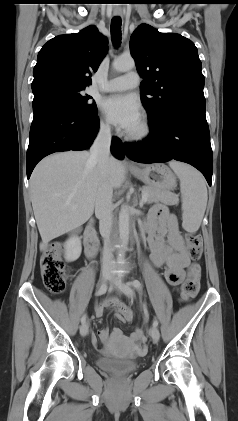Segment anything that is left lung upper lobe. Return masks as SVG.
Listing matches in <instances>:
<instances>
[{
  "label": "left lung upper lobe",
  "mask_w": 238,
  "mask_h": 421,
  "mask_svg": "<svg viewBox=\"0 0 238 421\" xmlns=\"http://www.w3.org/2000/svg\"><path fill=\"white\" fill-rule=\"evenodd\" d=\"M130 50L143 77L141 101L148 112L149 125L157 123L178 103L205 99L201 62L189 39L141 24L130 38Z\"/></svg>",
  "instance_id": "left-lung-upper-lobe-1"
}]
</instances>
